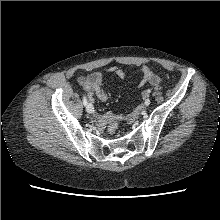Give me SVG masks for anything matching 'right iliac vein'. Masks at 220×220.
<instances>
[{
  "mask_svg": "<svg viewBox=\"0 0 220 220\" xmlns=\"http://www.w3.org/2000/svg\"><path fill=\"white\" fill-rule=\"evenodd\" d=\"M86 110L88 113H93L94 112V107L91 103H89L87 106H86Z\"/></svg>",
  "mask_w": 220,
  "mask_h": 220,
  "instance_id": "obj_1",
  "label": "right iliac vein"
}]
</instances>
